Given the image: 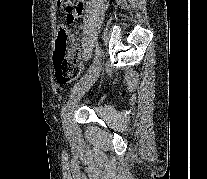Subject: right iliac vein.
Returning a JSON list of instances; mask_svg holds the SVG:
<instances>
[{"label": "right iliac vein", "instance_id": "right-iliac-vein-1", "mask_svg": "<svg viewBox=\"0 0 207 179\" xmlns=\"http://www.w3.org/2000/svg\"><path fill=\"white\" fill-rule=\"evenodd\" d=\"M101 72V64L98 62L96 70L87 79V82L80 86L75 93L71 96L62 116L63 126L65 129L70 128V117L71 113L78 103V101L84 96V94L89 90V88L97 81Z\"/></svg>", "mask_w": 207, "mask_h": 179}]
</instances>
